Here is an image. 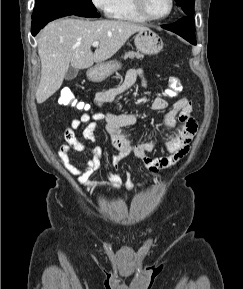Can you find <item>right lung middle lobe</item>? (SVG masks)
Segmentation results:
<instances>
[{"label":"right lung middle lobe","mask_w":243,"mask_h":289,"mask_svg":"<svg viewBox=\"0 0 243 289\" xmlns=\"http://www.w3.org/2000/svg\"><path fill=\"white\" fill-rule=\"evenodd\" d=\"M35 6H53L59 8H76L96 11L91 0H36Z\"/></svg>","instance_id":"obj_1"}]
</instances>
